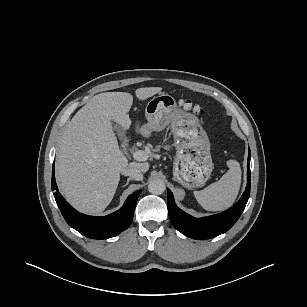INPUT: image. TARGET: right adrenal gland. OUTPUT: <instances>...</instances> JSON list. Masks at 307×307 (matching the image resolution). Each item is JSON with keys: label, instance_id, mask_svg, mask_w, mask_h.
I'll use <instances>...</instances> for the list:
<instances>
[{"label": "right adrenal gland", "instance_id": "right-adrenal-gland-1", "mask_svg": "<svg viewBox=\"0 0 307 307\" xmlns=\"http://www.w3.org/2000/svg\"><path fill=\"white\" fill-rule=\"evenodd\" d=\"M131 180H133V179H132V178H128L127 181H126V183H125L122 187L127 186Z\"/></svg>", "mask_w": 307, "mask_h": 307}]
</instances>
